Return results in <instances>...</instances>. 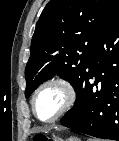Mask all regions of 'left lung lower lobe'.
Here are the masks:
<instances>
[{"instance_id": "left-lung-lower-lobe-1", "label": "left lung lower lobe", "mask_w": 119, "mask_h": 141, "mask_svg": "<svg viewBox=\"0 0 119 141\" xmlns=\"http://www.w3.org/2000/svg\"><path fill=\"white\" fill-rule=\"evenodd\" d=\"M60 122L84 134L119 141V11L97 37L75 105Z\"/></svg>"}]
</instances>
